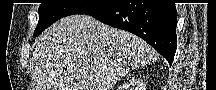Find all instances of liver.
<instances>
[{
  "mask_svg": "<svg viewBox=\"0 0 216 90\" xmlns=\"http://www.w3.org/2000/svg\"><path fill=\"white\" fill-rule=\"evenodd\" d=\"M153 52L134 34L91 16H68L35 40V90H113L129 70L151 62Z\"/></svg>",
  "mask_w": 216,
  "mask_h": 90,
  "instance_id": "1",
  "label": "liver"
}]
</instances>
